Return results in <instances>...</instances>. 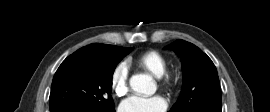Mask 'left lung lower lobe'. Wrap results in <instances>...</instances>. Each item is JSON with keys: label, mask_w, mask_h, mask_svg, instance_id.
I'll return each mask as SVG.
<instances>
[{"label": "left lung lower lobe", "mask_w": 270, "mask_h": 112, "mask_svg": "<svg viewBox=\"0 0 270 112\" xmlns=\"http://www.w3.org/2000/svg\"><path fill=\"white\" fill-rule=\"evenodd\" d=\"M189 112H215V111L202 110V109H199V108H194V109L190 110Z\"/></svg>", "instance_id": "obj_1"}]
</instances>
